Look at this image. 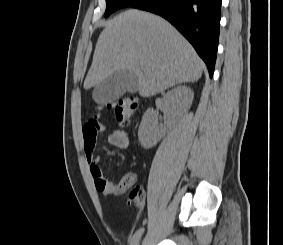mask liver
Listing matches in <instances>:
<instances>
[{"label":"liver","instance_id":"1","mask_svg":"<svg viewBox=\"0 0 283 245\" xmlns=\"http://www.w3.org/2000/svg\"><path fill=\"white\" fill-rule=\"evenodd\" d=\"M203 66L191 44L169 22L130 9L106 22L84 89L127 70L136 77L140 96L149 97L177 84L197 81Z\"/></svg>","mask_w":283,"mask_h":245}]
</instances>
